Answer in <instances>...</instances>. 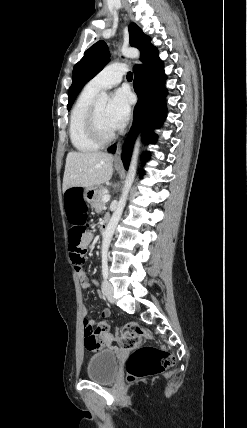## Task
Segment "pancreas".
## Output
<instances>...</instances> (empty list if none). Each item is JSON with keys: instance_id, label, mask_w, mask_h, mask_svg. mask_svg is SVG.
Wrapping results in <instances>:
<instances>
[{"instance_id": "obj_1", "label": "pancreas", "mask_w": 247, "mask_h": 428, "mask_svg": "<svg viewBox=\"0 0 247 428\" xmlns=\"http://www.w3.org/2000/svg\"><path fill=\"white\" fill-rule=\"evenodd\" d=\"M107 190L105 187H101L98 192H97V196L96 199L94 201V203L92 204V206L95 208L96 212H101L103 210V208L105 207V202H103L102 198L104 195H107Z\"/></svg>"}]
</instances>
